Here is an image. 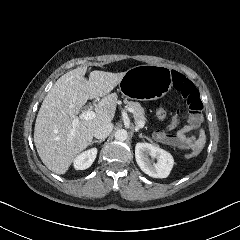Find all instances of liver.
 Returning <instances> with one entry per match:
<instances>
[{"label": "liver", "mask_w": 240, "mask_h": 240, "mask_svg": "<svg viewBox=\"0 0 240 240\" xmlns=\"http://www.w3.org/2000/svg\"><path fill=\"white\" fill-rule=\"evenodd\" d=\"M86 67L62 75L45 96L35 122L34 143L45 166L61 174L76 153L92 141L99 126L110 123L116 102L108 94L121 81L124 73L92 71L87 79ZM105 96L96 106L97 118L77 120L73 136L70 128L87 99Z\"/></svg>", "instance_id": "1"}]
</instances>
